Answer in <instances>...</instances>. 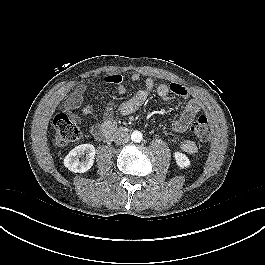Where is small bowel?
<instances>
[{"label":"small bowel","instance_id":"c3829d8e","mask_svg":"<svg viewBox=\"0 0 265 265\" xmlns=\"http://www.w3.org/2000/svg\"><path fill=\"white\" fill-rule=\"evenodd\" d=\"M141 79V75L134 73L131 76L133 82H138ZM107 81L117 86L119 94L126 93V86L123 83V77L120 74H112L107 77ZM86 89V83H82L75 91L71 92L65 101V108L72 114L73 118L78 119L75 111L81 106L84 91ZM155 90L157 95L167 101L172 95L187 99L189 97L188 90L178 83H161L155 85V81L152 77H146L144 80V87L138 90L131 98L121 103L116 111L122 116L130 115L140 109L147 101L150 94ZM94 107L92 105H86L82 108V113L89 115L93 112ZM201 111V104L198 99H189L184 107V110L180 117L176 119L172 124V129L177 134L184 133L192 120ZM116 127V121L112 112H107L103 116L102 121L92 126L91 133L95 137L100 138L102 134L111 133ZM180 148L187 154H194L197 151L196 143L191 139H183L180 142Z\"/></svg>","mask_w":265,"mask_h":265}]
</instances>
